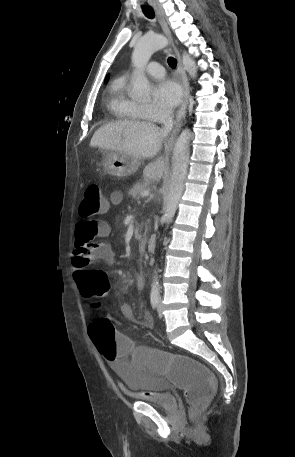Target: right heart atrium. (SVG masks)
Instances as JSON below:
<instances>
[{
  "label": "right heart atrium",
  "mask_w": 295,
  "mask_h": 457,
  "mask_svg": "<svg viewBox=\"0 0 295 457\" xmlns=\"http://www.w3.org/2000/svg\"><path fill=\"white\" fill-rule=\"evenodd\" d=\"M140 110L143 118L149 120H160L168 116L169 111L155 104H141Z\"/></svg>",
  "instance_id": "right-heart-atrium-1"
}]
</instances>
